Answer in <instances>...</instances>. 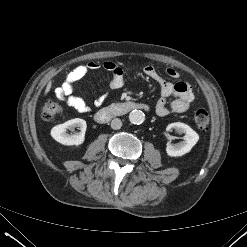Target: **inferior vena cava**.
Listing matches in <instances>:
<instances>
[{
    "label": "inferior vena cava",
    "mask_w": 247,
    "mask_h": 247,
    "mask_svg": "<svg viewBox=\"0 0 247 247\" xmlns=\"http://www.w3.org/2000/svg\"><path fill=\"white\" fill-rule=\"evenodd\" d=\"M122 127V121L119 118H114L111 121V128L114 130H118Z\"/></svg>",
    "instance_id": "1"
}]
</instances>
